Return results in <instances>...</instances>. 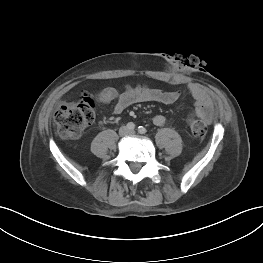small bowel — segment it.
I'll list each match as a JSON object with an SVG mask.
<instances>
[{"label":"small bowel","instance_id":"1","mask_svg":"<svg viewBox=\"0 0 263 263\" xmlns=\"http://www.w3.org/2000/svg\"><path fill=\"white\" fill-rule=\"evenodd\" d=\"M188 90L195 100V112L198 117L206 122L213 118V104L211 98L204 88L197 83H190ZM181 96L179 90L167 91L158 88H146L139 91L135 88H128L123 92H118L113 87H106L98 94V100L101 103H109L116 100L114 113L120 114L129 106L142 102H157L162 104H171L177 101ZM157 126H163L167 122L164 115L157 114L152 118Z\"/></svg>","mask_w":263,"mask_h":263}]
</instances>
